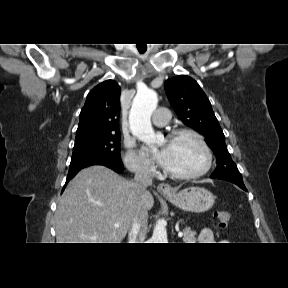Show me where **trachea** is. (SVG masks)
<instances>
[{"label":"trachea","instance_id":"obj_1","mask_svg":"<svg viewBox=\"0 0 288 288\" xmlns=\"http://www.w3.org/2000/svg\"><path fill=\"white\" fill-rule=\"evenodd\" d=\"M138 51H139L141 54H143V53H145L146 48H143V49L138 48Z\"/></svg>","mask_w":288,"mask_h":288}]
</instances>
